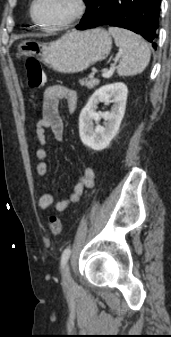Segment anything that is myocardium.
<instances>
[{
  "label": "myocardium",
  "instance_id": "f54148a6",
  "mask_svg": "<svg viewBox=\"0 0 171 337\" xmlns=\"http://www.w3.org/2000/svg\"><path fill=\"white\" fill-rule=\"evenodd\" d=\"M38 1L39 0H33L31 3V7H30L31 18L36 25H38L44 30L52 31V32L63 30V29L70 27L73 23H75L76 21H78L80 18L83 17V15L86 12V8H87L85 0H74L75 9L69 18H67L65 21L59 24L47 25V24L42 23L36 16V5Z\"/></svg>",
  "mask_w": 171,
  "mask_h": 337
}]
</instances>
